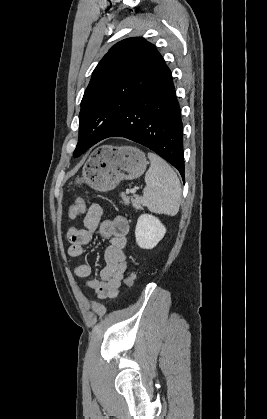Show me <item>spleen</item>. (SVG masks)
Instances as JSON below:
<instances>
[{
  "label": "spleen",
  "mask_w": 267,
  "mask_h": 419,
  "mask_svg": "<svg viewBox=\"0 0 267 419\" xmlns=\"http://www.w3.org/2000/svg\"><path fill=\"white\" fill-rule=\"evenodd\" d=\"M151 162L145 174L143 203L152 212L174 216L178 213L182 190L178 176L170 165L155 153L149 152Z\"/></svg>",
  "instance_id": "1"
}]
</instances>
